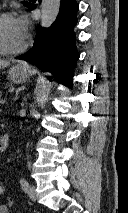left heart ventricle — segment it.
Returning a JSON list of instances; mask_svg holds the SVG:
<instances>
[{"label": "left heart ventricle", "mask_w": 128, "mask_h": 213, "mask_svg": "<svg viewBox=\"0 0 128 213\" xmlns=\"http://www.w3.org/2000/svg\"><path fill=\"white\" fill-rule=\"evenodd\" d=\"M0 41L7 48H17L24 42V38L20 35L14 18L4 19L0 23Z\"/></svg>", "instance_id": "b2bd125f"}]
</instances>
